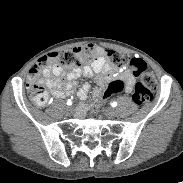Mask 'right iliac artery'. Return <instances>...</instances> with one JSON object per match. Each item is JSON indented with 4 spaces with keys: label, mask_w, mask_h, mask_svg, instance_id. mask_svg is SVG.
Here are the masks:
<instances>
[{
    "label": "right iliac artery",
    "mask_w": 183,
    "mask_h": 183,
    "mask_svg": "<svg viewBox=\"0 0 183 183\" xmlns=\"http://www.w3.org/2000/svg\"><path fill=\"white\" fill-rule=\"evenodd\" d=\"M72 104V101L71 100H68L67 101V105H71Z\"/></svg>",
    "instance_id": "right-iliac-artery-1"
}]
</instances>
